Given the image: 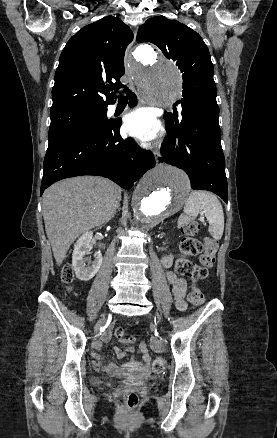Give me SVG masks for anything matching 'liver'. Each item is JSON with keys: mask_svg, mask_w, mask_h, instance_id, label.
Returning a JSON list of instances; mask_svg holds the SVG:
<instances>
[{"mask_svg": "<svg viewBox=\"0 0 277 438\" xmlns=\"http://www.w3.org/2000/svg\"><path fill=\"white\" fill-rule=\"evenodd\" d=\"M121 198L117 184L98 176L67 178L45 190L43 218L57 266L80 234L115 216Z\"/></svg>", "mask_w": 277, "mask_h": 438, "instance_id": "1", "label": "liver"}]
</instances>
